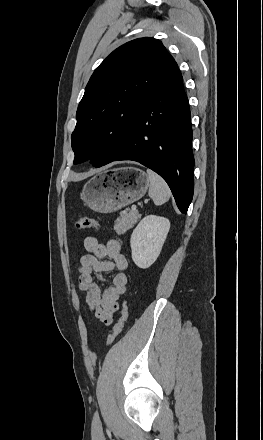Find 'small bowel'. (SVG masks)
Wrapping results in <instances>:
<instances>
[{
    "label": "small bowel",
    "mask_w": 263,
    "mask_h": 440,
    "mask_svg": "<svg viewBox=\"0 0 263 440\" xmlns=\"http://www.w3.org/2000/svg\"><path fill=\"white\" fill-rule=\"evenodd\" d=\"M84 248L88 252L80 259L78 288L85 295L86 303L94 316L109 325L113 322L118 310V299L127 288L128 261L121 253L120 243L110 240L102 244L96 237L88 236L84 239ZM117 270L104 290L95 282L94 276L102 279V273Z\"/></svg>",
    "instance_id": "1"
}]
</instances>
